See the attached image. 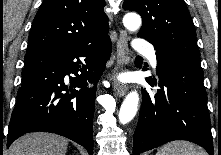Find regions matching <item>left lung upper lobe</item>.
Instances as JSON below:
<instances>
[{
    "instance_id": "1",
    "label": "left lung upper lobe",
    "mask_w": 221,
    "mask_h": 155,
    "mask_svg": "<svg viewBox=\"0 0 221 155\" xmlns=\"http://www.w3.org/2000/svg\"><path fill=\"white\" fill-rule=\"evenodd\" d=\"M123 8L142 16L138 37L145 38L155 49L200 56L195 28L184 0H125Z\"/></svg>"
}]
</instances>
